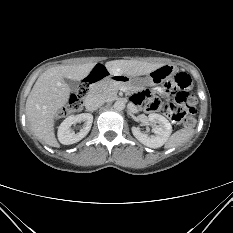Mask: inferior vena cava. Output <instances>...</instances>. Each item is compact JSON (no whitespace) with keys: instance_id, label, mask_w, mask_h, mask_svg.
<instances>
[{"instance_id":"obj_1","label":"inferior vena cava","mask_w":233,"mask_h":233,"mask_svg":"<svg viewBox=\"0 0 233 233\" xmlns=\"http://www.w3.org/2000/svg\"><path fill=\"white\" fill-rule=\"evenodd\" d=\"M106 102V98L100 94H89L84 101L87 110L95 111Z\"/></svg>"}]
</instances>
